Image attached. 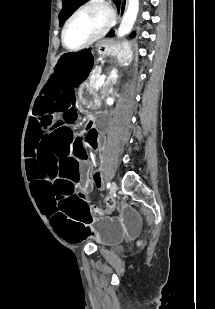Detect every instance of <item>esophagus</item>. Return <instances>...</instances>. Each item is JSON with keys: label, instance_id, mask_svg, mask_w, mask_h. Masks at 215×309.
<instances>
[{"label": "esophagus", "instance_id": "esophagus-1", "mask_svg": "<svg viewBox=\"0 0 215 309\" xmlns=\"http://www.w3.org/2000/svg\"><path fill=\"white\" fill-rule=\"evenodd\" d=\"M128 0H122L121 1V7H120V13H119V19L121 20L126 12L127 9Z\"/></svg>", "mask_w": 215, "mask_h": 309}]
</instances>
